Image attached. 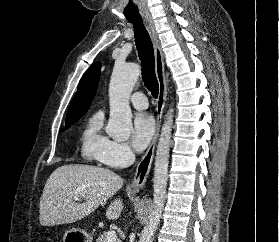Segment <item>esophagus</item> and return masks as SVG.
<instances>
[{
	"label": "esophagus",
	"instance_id": "obj_1",
	"mask_svg": "<svg viewBox=\"0 0 279 242\" xmlns=\"http://www.w3.org/2000/svg\"><path fill=\"white\" fill-rule=\"evenodd\" d=\"M145 26L150 34L154 46L155 72L159 83V94H158L157 106H156L157 123H156L155 134L149 145V148L146 151L143 158L138 163L135 176L131 184L128 186V189L133 192H139L146 183L152 165L153 157H154L155 146L159 136L163 110L167 98V85H166L165 72H164V58L160 46V41L153 21H145Z\"/></svg>",
	"mask_w": 279,
	"mask_h": 242
}]
</instances>
